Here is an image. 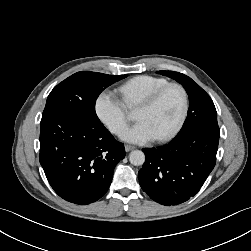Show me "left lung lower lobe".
Segmentation results:
<instances>
[{"instance_id": "obj_1", "label": "left lung lower lobe", "mask_w": 251, "mask_h": 251, "mask_svg": "<svg viewBox=\"0 0 251 251\" xmlns=\"http://www.w3.org/2000/svg\"><path fill=\"white\" fill-rule=\"evenodd\" d=\"M218 126H197L178 133L168 144L145 148L138 173L141 188L162 205H178L202 187L216 162Z\"/></svg>"}]
</instances>
